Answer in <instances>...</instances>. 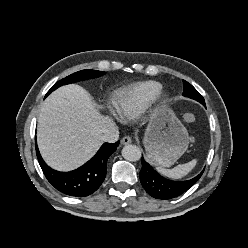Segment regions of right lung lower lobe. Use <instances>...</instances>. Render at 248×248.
<instances>
[{
    "mask_svg": "<svg viewBox=\"0 0 248 248\" xmlns=\"http://www.w3.org/2000/svg\"><path fill=\"white\" fill-rule=\"evenodd\" d=\"M118 145L119 141L104 143L92 159L71 172H59L50 168L42 159L37 144L36 155L45 177L53 187L66 195L85 197L94 193L104 181L107 160Z\"/></svg>",
    "mask_w": 248,
    "mask_h": 248,
    "instance_id": "obj_1",
    "label": "right lung lower lobe"
}]
</instances>
